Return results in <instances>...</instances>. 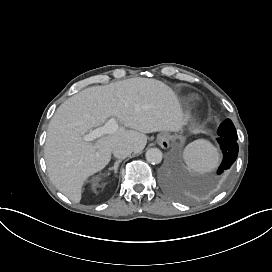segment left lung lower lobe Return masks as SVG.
<instances>
[{
	"mask_svg": "<svg viewBox=\"0 0 272 272\" xmlns=\"http://www.w3.org/2000/svg\"><path fill=\"white\" fill-rule=\"evenodd\" d=\"M218 142L221 145L224 159L218 169V174L223 173L229 169L237 158L238 155V144L237 140L220 136Z\"/></svg>",
	"mask_w": 272,
	"mask_h": 272,
	"instance_id": "obj_1",
	"label": "left lung lower lobe"
}]
</instances>
